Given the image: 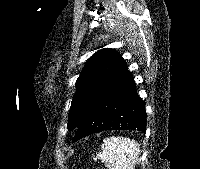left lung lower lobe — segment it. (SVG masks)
<instances>
[{
    "mask_svg": "<svg viewBox=\"0 0 200 169\" xmlns=\"http://www.w3.org/2000/svg\"><path fill=\"white\" fill-rule=\"evenodd\" d=\"M104 130H136L145 134V103L133 78L96 102L77 127L73 142Z\"/></svg>",
    "mask_w": 200,
    "mask_h": 169,
    "instance_id": "obj_1",
    "label": "left lung lower lobe"
}]
</instances>
